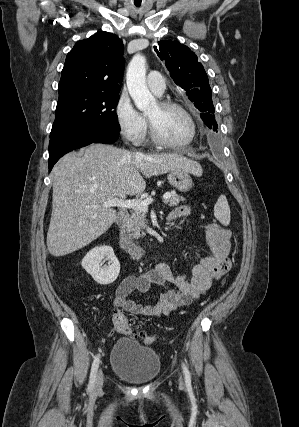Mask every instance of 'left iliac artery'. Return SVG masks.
Wrapping results in <instances>:
<instances>
[{"label":"left iliac artery","instance_id":"44dca946","mask_svg":"<svg viewBox=\"0 0 299 427\" xmlns=\"http://www.w3.org/2000/svg\"><path fill=\"white\" fill-rule=\"evenodd\" d=\"M182 368L185 375V379L190 380V372L184 363H182Z\"/></svg>","mask_w":299,"mask_h":427}]
</instances>
